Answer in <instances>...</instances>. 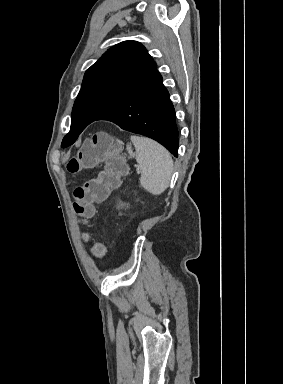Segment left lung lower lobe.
I'll return each mask as SVG.
<instances>
[{
  "mask_svg": "<svg viewBox=\"0 0 283 384\" xmlns=\"http://www.w3.org/2000/svg\"><path fill=\"white\" fill-rule=\"evenodd\" d=\"M96 120H109L124 130L150 137L178 156L175 110L157 70Z\"/></svg>",
  "mask_w": 283,
  "mask_h": 384,
  "instance_id": "obj_1",
  "label": "left lung lower lobe"
}]
</instances>
